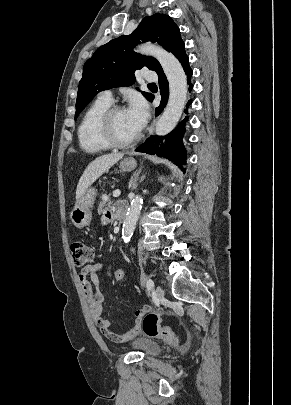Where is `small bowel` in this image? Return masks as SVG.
<instances>
[{"mask_svg": "<svg viewBox=\"0 0 291 405\" xmlns=\"http://www.w3.org/2000/svg\"><path fill=\"white\" fill-rule=\"evenodd\" d=\"M117 214L109 211L103 216V222L108 223ZM102 264L95 263L85 266L79 275L83 292L89 304L91 317L95 325L100 329L102 334L113 343H125L132 340L141 330V321L143 316L149 312L150 307L145 305L135 312V320L133 326L122 334L113 333L110 331V320L103 317L104 295L99 289V273L102 270Z\"/></svg>", "mask_w": 291, "mask_h": 405, "instance_id": "1", "label": "small bowel"}]
</instances>
